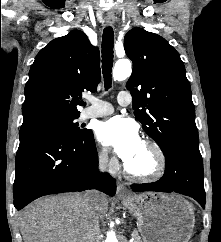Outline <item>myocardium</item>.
I'll list each match as a JSON object with an SVG mask.
<instances>
[{
  "label": "myocardium",
  "mask_w": 221,
  "mask_h": 242,
  "mask_svg": "<svg viewBox=\"0 0 221 242\" xmlns=\"http://www.w3.org/2000/svg\"><path fill=\"white\" fill-rule=\"evenodd\" d=\"M152 153L154 164L150 171L139 173L132 170L127 163L124 164L126 174L133 180L139 182H152L158 180L165 172L166 158L162 148L153 140L145 139L142 141Z\"/></svg>",
  "instance_id": "1"
}]
</instances>
